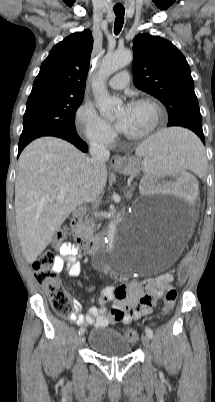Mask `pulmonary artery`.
Masks as SVG:
<instances>
[{
  "instance_id": "1",
  "label": "pulmonary artery",
  "mask_w": 215,
  "mask_h": 402,
  "mask_svg": "<svg viewBox=\"0 0 215 402\" xmlns=\"http://www.w3.org/2000/svg\"><path fill=\"white\" fill-rule=\"evenodd\" d=\"M129 82V74L126 71H122L114 75L108 82L109 86L113 89H122Z\"/></svg>"
}]
</instances>
